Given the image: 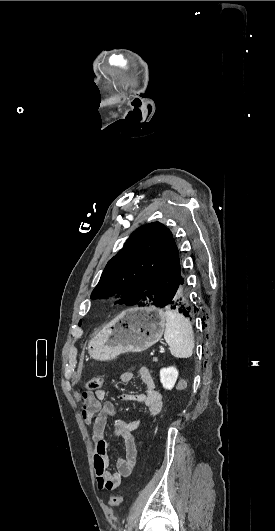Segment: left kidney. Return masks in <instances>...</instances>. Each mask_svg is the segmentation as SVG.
I'll return each instance as SVG.
<instances>
[{"mask_svg": "<svg viewBox=\"0 0 275 531\" xmlns=\"http://www.w3.org/2000/svg\"><path fill=\"white\" fill-rule=\"evenodd\" d=\"M178 379V371L175 367H167V369H161L160 371V381L164 389H173L176 381Z\"/></svg>", "mask_w": 275, "mask_h": 531, "instance_id": "5707ae66", "label": "left kidney"}]
</instances>
